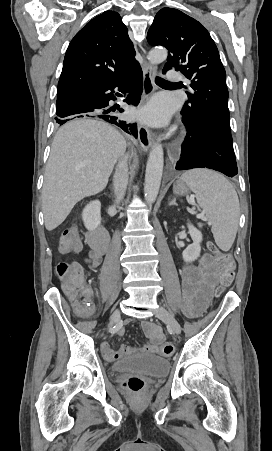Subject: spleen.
<instances>
[{
  "instance_id": "1",
  "label": "spleen",
  "mask_w": 272,
  "mask_h": 451,
  "mask_svg": "<svg viewBox=\"0 0 272 451\" xmlns=\"http://www.w3.org/2000/svg\"><path fill=\"white\" fill-rule=\"evenodd\" d=\"M181 180L194 192L197 204L212 226L218 247L229 251L236 237L240 216L235 188L222 174L206 168L188 170L182 174Z\"/></svg>"
}]
</instances>
